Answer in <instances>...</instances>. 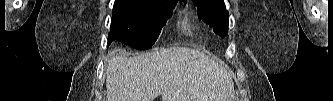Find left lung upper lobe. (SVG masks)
Returning <instances> with one entry per match:
<instances>
[{
    "mask_svg": "<svg viewBox=\"0 0 333 101\" xmlns=\"http://www.w3.org/2000/svg\"><path fill=\"white\" fill-rule=\"evenodd\" d=\"M193 1L197 6L199 18L208 23L217 34L225 36L228 31L229 14L226 11L224 0Z\"/></svg>",
    "mask_w": 333,
    "mask_h": 101,
    "instance_id": "5c2ea615",
    "label": "left lung upper lobe"
}]
</instances>
